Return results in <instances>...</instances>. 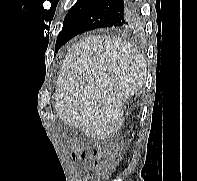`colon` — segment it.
<instances>
[{
  "label": "colon",
  "instance_id": "5ec220e1",
  "mask_svg": "<svg viewBox=\"0 0 197 181\" xmlns=\"http://www.w3.org/2000/svg\"><path fill=\"white\" fill-rule=\"evenodd\" d=\"M115 166V161L110 151L101 152L94 161V174L97 177H105Z\"/></svg>",
  "mask_w": 197,
  "mask_h": 181
}]
</instances>
